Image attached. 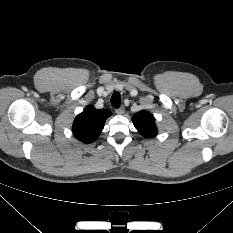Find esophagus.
<instances>
[{
	"mask_svg": "<svg viewBox=\"0 0 233 233\" xmlns=\"http://www.w3.org/2000/svg\"><path fill=\"white\" fill-rule=\"evenodd\" d=\"M124 111H125L124 107H120V108L116 109V113L119 115L124 114Z\"/></svg>",
	"mask_w": 233,
	"mask_h": 233,
	"instance_id": "34e87169",
	"label": "esophagus"
}]
</instances>
